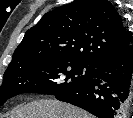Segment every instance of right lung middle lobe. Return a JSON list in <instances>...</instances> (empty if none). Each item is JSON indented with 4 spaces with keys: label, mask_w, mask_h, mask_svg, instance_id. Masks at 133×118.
<instances>
[{
    "label": "right lung middle lobe",
    "mask_w": 133,
    "mask_h": 118,
    "mask_svg": "<svg viewBox=\"0 0 133 118\" xmlns=\"http://www.w3.org/2000/svg\"><path fill=\"white\" fill-rule=\"evenodd\" d=\"M93 67L49 58L21 68L7 69L0 87V106L24 92L59 95L91 80Z\"/></svg>",
    "instance_id": "right-lung-middle-lobe-1"
}]
</instances>
